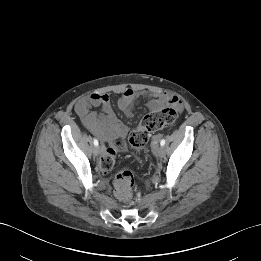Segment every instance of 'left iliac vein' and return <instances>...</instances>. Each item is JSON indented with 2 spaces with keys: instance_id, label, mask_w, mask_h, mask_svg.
<instances>
[{
  "instance_id": "left-iliac-vein-1",
  "label": "left iliac vein",
  "mask_w": 261,
  "mask_h": 261,
  "mask_svg": "<svg viewBox=\"0 0 261 261\" xmlns=\"http://www.w3.org/2000/svg\"><path fill=\"white\" fill-rule=\"evenodd\" d=\"M155 154L158 156V157H163L164 154H165V150H164V147L163 146H156L155 147Z\"/></svg>"
}]
</instances>
